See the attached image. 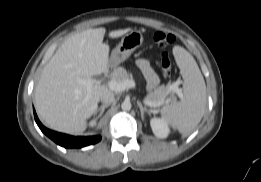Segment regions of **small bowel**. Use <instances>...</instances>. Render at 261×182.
<instances>
[{
	"label": "small bowel",
	"mask_w": 261,
	"mask_h": 182,
	"mask_svg": "<svg viewBox=\"0 0 261 182\" xmlns=\"http://www.w3.org/2000/svg\"><path fill=\"white\" fill-rule=\"evenodd\" d=\"M137 66L146 79L148 91H153L157 87L159 79L157 74L154 72L150 61L144 58H140L137 60Z\"/></svg>",
	"instance_id": "1"
}]
</instances>
